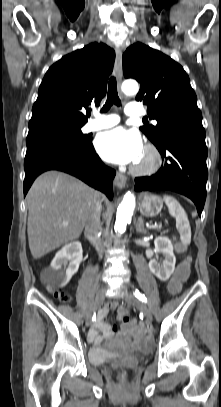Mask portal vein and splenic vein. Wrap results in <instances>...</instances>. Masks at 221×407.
I'll return each instance as SVG.
<instances>
[{
  "mask_svg": "<svg viewBox=\"0 0 221 407\" xmlns=\"http://www.w3.org/2000/svg\"><path fill=\"white\" fill-rule=\"evenodd\" d=\"M63 225H64V226H67L68 223H63ZM147 228L160 229V228H161V225H160V224H154V225H151V226H147Z\"/></svg>",
  "mask_w": 221,
  "mask_h": 407,
  "instance_id": "1",
  "label": "portal vein and splenic vein"
}]
</instances>
